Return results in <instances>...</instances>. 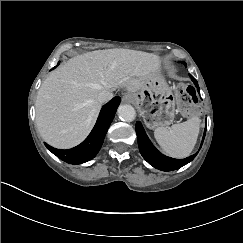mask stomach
Masks as SVG:
<instances>
[{
	"mask_svg": "<svg viewBox=\"0 0 243 243\" xmlns=\"http://www.w3.org/2000/svg\"><path fill=\"white\" fill-rule=\"evenodd\" d=\"M131 101L149 129L167 127L174 120L175 97L159 70L140 90L132 93Z\"/></svg>",
	"mask_w": 243,
	"mask_h": 243,
	"instance_id": "obj_1",
	"label": "stomach"
}]
</instances>
